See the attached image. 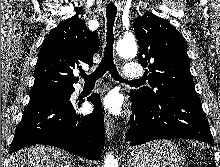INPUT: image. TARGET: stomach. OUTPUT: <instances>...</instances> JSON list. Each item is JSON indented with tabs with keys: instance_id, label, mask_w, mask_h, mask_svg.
<instances>
[{
	"instance_id": "stomach-1",
	"label": "stomach",
	"mask_w": 220,
	"mask_h": 167,
	"mask_svg": "<svg viewBox=\"0 0 220 167\" xmlns=\"http://www.w3.org/2000/svg\"><path fill=\"white\" fill-rule=\"evenodd\" d=\"M125 154L127 167H187L181 149L168 140L133 147Z\"/></svg>"
}]
</instances>
